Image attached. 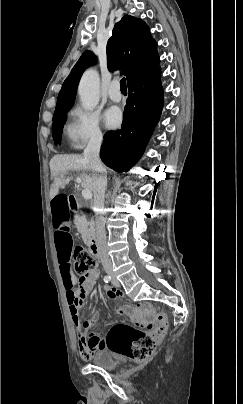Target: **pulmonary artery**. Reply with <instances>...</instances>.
I'll use <instances>...</instances> for the list:
<instances>
[{
	"label": "pulmonary artery",
	"mask_w": 243,
	"mask_h": 404,
	"mask_svg": "<svg viewBox=\"0 0 243 404\" xmlns=\"http://www.w3.org/2000/svg\"><path fill=\"white\" fill-rule=\"evenodd\" d=\"M109 97L114 102L122 100V93L120 91V82L118 79L112 80L109 88Z\"/></svg>",
	"instance_id": "pulmonary-artery-1"
}]
</instances>
